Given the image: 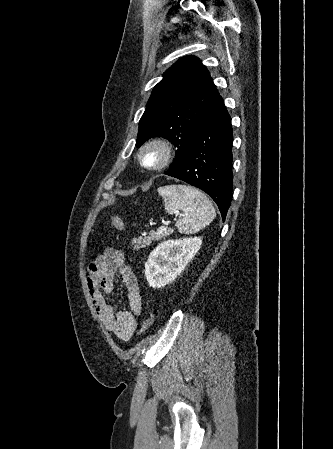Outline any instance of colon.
<instances>
[{
	"label": "colon",
	"mask_w": 333,
	"mask_h": 449,
	"mask_svg": "<svg viewBox=\"0 0 333 449\" xmlns=\"http://www.w3.org/2000/svg\"><path fill=\"white\" fill-rule=\"evenodd\" d=\"M111 223L112 226L118 230L121 231L124 229V222L123 220L117 216V215H112L111 216ZM158 313L156 310H151L148 315L146 316V318L143 321L142 327H141V332L145 333L147 332L150 328H152V326L154 325L156 319H157Z\"/></svg>",
	"instance_id": "5ec220e1"
}]
</instances>
